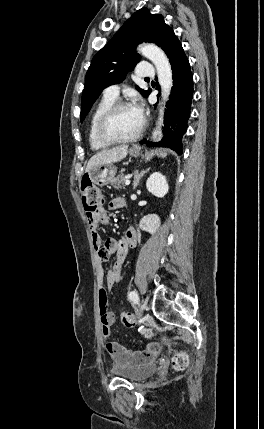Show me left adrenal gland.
Returning a JSON list of instances; mask_svg holds the SVG:
<instances>
[{"instance_id": "obj_1", "label": "left adrenal gland", "mask_w": 264, "mask_h": 429, "mask_svg": "<svg viewBox=\"0 0 264 429\" xmlns=\"http://www.w3.org/2000/svg\"><path fill=\"white\" fill-rule=\"evenodd\" d=\"M149 171V168L146 170H143L139 173V171H135L134 173V181H133V190L136 189V187L138 186L140 179L145 175V173H147Z\"/></svg>"}]
</instances>
